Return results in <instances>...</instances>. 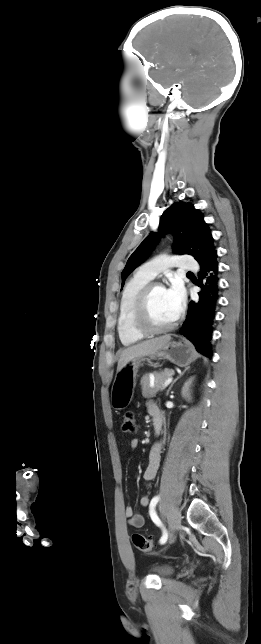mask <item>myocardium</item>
Segmentation results:
<instances>
[{
  "instance_id": "f54148a6",
  "label": "myocardium",
  "mask_w": 261,
  "mask_h": 644,
  "mask_svg": "<svg viewBox=\"0 0 261 644\" xmlns=\"http://www.w3.org/2000/svg\"><path fill=\"white\" fill-rule=\"evenodd\" d=\"M155 288H163L164 285L159 282L150 281L140 291L133 310V326L143 335H156L168 332L174 329L179 321V315L168 325L157 327L151 324L148 318V303L152 291Z\"/></svg>"
}]
</instances>
